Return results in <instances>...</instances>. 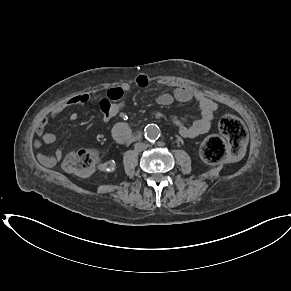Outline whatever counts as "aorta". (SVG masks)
<instances>
[{
  "instance_id": "1",
  "label": "aorta",
  "mask_w": 291,
  "mask_h": 291,
  "mask_svg": "<svg viewBox=\"0 0 291 291\" xmlns=\"http://www.w3.org/2000/svg\"><path fill=\"white\" fill-rule=\"evenodd\" d=\"M160 128L156 124H148L144 129L145 138L148 141H155L160 137Z\"/></svg>"
}]
</instances>
